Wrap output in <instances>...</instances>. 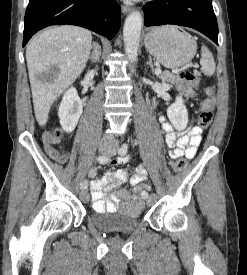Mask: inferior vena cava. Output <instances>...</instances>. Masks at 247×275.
I'll use <instances>...</instances> for the list:
<instances>
[{"label": "inferior vena cava", "mask_w": 247, "mask_h": 275, "mask_svg": "<svg viewBox=\"0 0 247 275\" xmlns=\"http://www.w3.org/2000/svg\"><path fill=\"white\" fill-rule=\"evenodd\" d=\"M103 142H105V143H112V142H114V138L111 135L104 136L103 137Z\"/></svg>", "instance_id": "inferior-vena-cava-1"}]
</instances>
